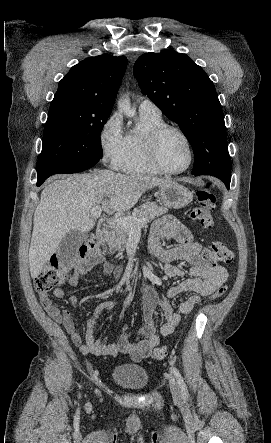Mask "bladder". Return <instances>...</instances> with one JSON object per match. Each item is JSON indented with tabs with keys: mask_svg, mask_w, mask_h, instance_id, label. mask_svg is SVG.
<instances>
[{
	"mask_svg": "<svg viewBox=\"0 0 271 443\" xmlns=\"http://www.w3.org/2000/svg\"><path fill=\"white\" fill-rule=\"evenodd\" d=\"M112 380L130 390H143L149 382V374L138 364H119L111 371Z\"/></svg>",
	"mask_w": 271,
	"mask_h": 443,
	"instance_id": "1",
	"label": "bladder"
}]
</instances>
